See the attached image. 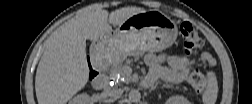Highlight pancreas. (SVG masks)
I'll return each mask as SVG.
<instances>
[{
	"instance_id": "pancreas-1",
	"label": "pancreas",
	"mask_w": 252,
	"mask_h": 104,
	"mask_svg": "<svg viewBox=\"0 0 252 104\" xmlns=\"http://www.w3.org/2000/svg\"><path fill=\"white\" fill-rule=\"evenodd\" d=\"M122 76L125 77V80H126V81H129V80H130V77H129V76L124 75V74H122Z\"/></svg>"
}]
</instances>
